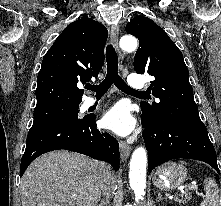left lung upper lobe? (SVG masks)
Segmentation results:
<instances>
[{
	"mask_svg": "<svg viewBox=\"0 0 221 206\" xmlns=\"http://www.w3.org/2000/svg\"><path fill=\"white\" fill-rule=\"evenodd\" d=\"M126 32L140 42L134 58L136 72L148 73L155 78L149 91L159 102L141 103L151 123L201 121L183 55L166 32L143 16L131 20L126 25Z\"/></svg>",
	"mask_w": 221,
	"mask_h": 206,
	"instance_id": "obj_1",
	"label": "left lung upper lobe"
}]
</instances>
